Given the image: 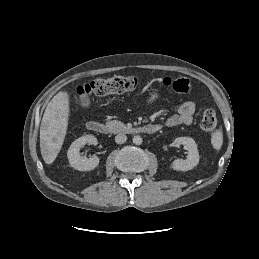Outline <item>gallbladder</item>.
<instances>
[{
  "mask_svg": "<svg viewBox=\"0 0 259 259\" xmlns=\"http://www.w3.org/2000/svg\"><path fill=\"white\" fill-rule=\"evenodd\" d=\"M79 99H80V105L82 107L88 108L90 106L91 102H90V99H89V97H88V95L86 93L81 94L79 96Z\"/></svg>",
  "mask_w": 259,
  "mask_h": 259,
  "instance_id": "gallbladder-1",
  "label": "gallbladder"
}]
</instances>
